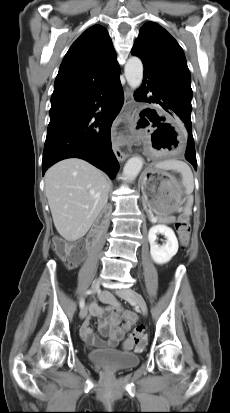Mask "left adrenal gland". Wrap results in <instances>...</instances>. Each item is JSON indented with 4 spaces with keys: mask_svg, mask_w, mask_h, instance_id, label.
Masks as SVG:
<instances>
[{
    "mask_svg": "<svg viewBox=\"0 0 230 413\" xmlns=\"http://www.w3.org/2000/svg\"><path fill=\"white\" fill-rule=\"evenodd\" d=\"M143 206H144V209L146 210L147 215H148V217H149V219H150V215H149V213H148V211H147V207H146V205H145V204H143Z\"/></svg>",
    "mask_w": 230,
    "mask_h": 413,
    "instance_id": "1",
    "label": "left adrenal gland"
}]
</instances>
